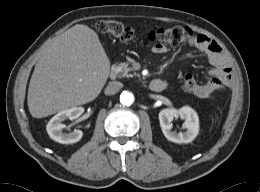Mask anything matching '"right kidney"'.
Returning <instances> with one entry per match:
<instances>
[{
  "mask_svg": "<svg viewBox=\"0 0 260 192\" xmlns=\"http://www.w3.org/2000/svg\"><path fill=\"white\" fill-rule=\"evenodd\" d=\"M84 112L83 107H72L70 109L62 110L57 113L52 119L48 122L46 130L51 139L61 144H71L78 142L82 138L81 130H74L71 133H64L62 129L65 125L63 121L69 119L74 120L82 115Z\"/></svg>",
  "mask_w": 260,
  "mask_h": 192,
  "instance_id": "right-kidney-1",
  "label": "right kidney"
}]
</instances>
